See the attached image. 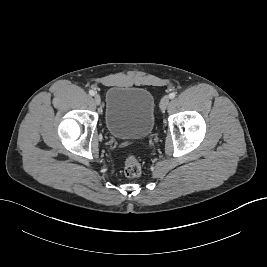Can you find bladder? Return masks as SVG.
Returning a JSON list of instances; mask_svg holds the SVG:
<instances>
[{
    "label": "bladder",
    "mask_w": 267,
    "mask_h": 267,
    "mask_svg": "<svg viewBox=\"0 0 267 267\" xmlns=\"http://www.w3.org/2000/svg\"><path fill=\"white\" fill-rule=\"evenodd\" d=\"M104 124L118 139H144L155 124V100L142 87L112 86L106 93Z\"/></svg>",
    "instance_id": "31cf9c89"
}]
</instances>
